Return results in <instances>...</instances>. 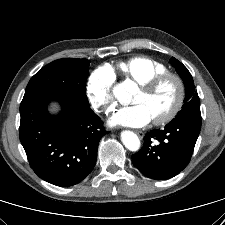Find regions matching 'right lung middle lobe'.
<instances>
[{
  "mask_svg": "<svg viewBox=\"0 0 225 225\" xmlns=\"http://www.w3.org/2000/svg\"><path fill=\"white\" fill-rule=\"evenodd\" d=\"M87 59H60L39 70L29 81L23 99L46 97L70 100L89 107L85 85L89 73Z\"/></svg>",
  "mask_w": 225,
  "mask_h": 225,
  "instance_id": "dd1d6c3e",
  "label": "right lung middle lobe"
}]
</instances>
